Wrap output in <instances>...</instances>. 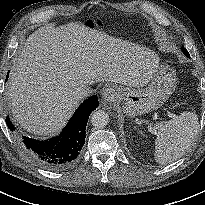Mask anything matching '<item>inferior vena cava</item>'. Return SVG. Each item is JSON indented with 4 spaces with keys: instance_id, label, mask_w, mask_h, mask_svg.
I'll return each mask as SVG.
<instances>
[{
    "instance_id": "inferior-vena-cava-1",
    "label": "inferior vena cava",
    "mask_w": 205,
    "mask_h": 205,
    "mask_svg": "<svg viewBox=\"0 0 205 205\" xmlns=\"http://www.w3.org/2000/svg\"><path fill=\"white\" fill-rule=\"evenodd\" d=\"M91 93H92V89L88 84H83V85L77 87L73 92L74 96L78 100L89 96Z\"/></svg>"
}]
</instances>
